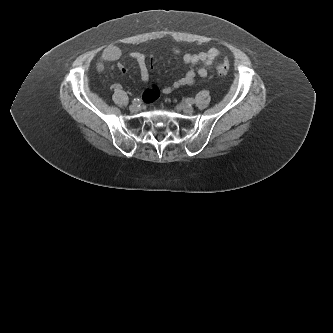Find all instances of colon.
I'll use <instances>...</instances> for the list:
<instances>
[{
	"label": "colon",
	"instance_id": "1",
	"mask_svg": "<svg viewBox=\"0 0 333 333\" xmlns=\"http://www.w3.org/2000/svg\"><path fill=\"white\" fill-rule=\"evenodd\" d=\"M229 70V63L224 61L217 66V71L221 75H225Z\"/></svg>",
	"mask_w": 333,
	"mask_h": 333
}]
</instances>
